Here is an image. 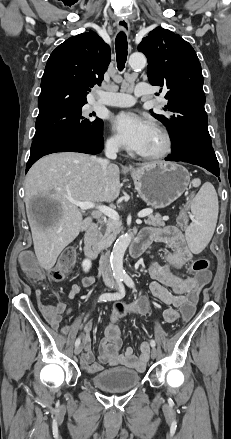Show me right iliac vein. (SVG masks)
<instances>
[{"label":"right iliac vein","instance_id":"obj_1","mask_svg":"<svg viewBox=\"0 0 231 439\" xmlns=\"http://www.w3.org/2000/svg\"><path fill=\"white\" fill-rule=\"evenodd\" d=\"M81 351H82V346L81 345H78V346L75 347L74 352H75L76 355H79L81 353Z\"/></svg>","mask_w":231,"mask_h":439}]
</instances>
